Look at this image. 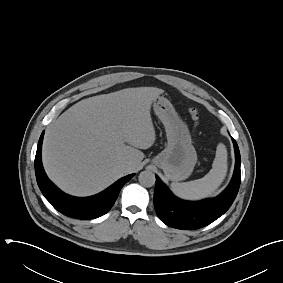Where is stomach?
Wrapping results in <instances>:
<instances>
[{
    "instance_id": "obj_1",
    "label": "stomach",
    "mask_w": 283,
    "mask_h": 283,
    "mask_svg": "<svg viewBox=\"0 0 283 283\" xmlns=\"http://www.w3.org/2000/svg\"><path fill=\"white\" fill-rule=\"evenodd\" d=\"M153 108L165 127L168 143L152 163L163 170L168 180H185L191 175L197 162L189 129L171 102L163 96L153 101Z\"/></svg>"
}]
</instances>
